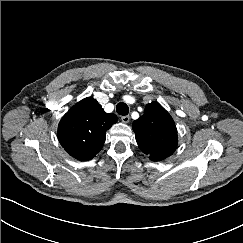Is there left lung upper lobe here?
Returning <instances> with one entry per match:
<instances>
[{"label":"left lung upper lobe","mask_w":243,"mask_h":243,"mask_svg":"<svg viewBox=\"0 0 243 243\" xmlns=\"http://www.w3.org/2000/svg\"><path fill=\"white\" fill-rule=\"evenodd\" d=\"M132 127L139 148L152 161L167 158L177 148L178 138L175 123L158 102L148 104L144 114L133 122Z\"/></svg>","instance_id":"obj_1"}]
</instances>
